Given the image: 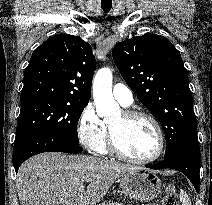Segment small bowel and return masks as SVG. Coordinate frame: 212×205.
Returning <instances> with one entry per match:
<instances>
[{
    "label": "small bowel",
    "instance_id": "small-bowel-1",
    "mask_svg": "<svg viewBox=\"0 0 212 205\" xmlns=\"http://www.w3.org/2000/svg\"><path fill=\"white\" fill-rule=\"evenodd\" d=\"M146 205H155V204H146Z\"/></svg>",
    "mask_w": 212,
    "mask_h": 205
}]
</instances>
